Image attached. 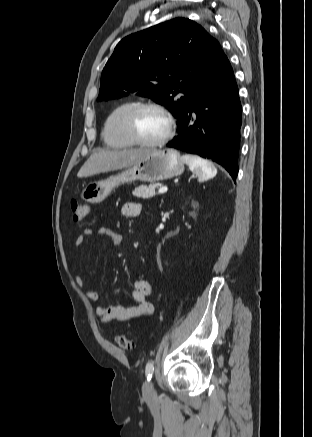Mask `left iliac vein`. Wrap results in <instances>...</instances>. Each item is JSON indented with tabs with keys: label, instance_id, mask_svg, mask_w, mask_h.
Here are the masks:
<instances>
[{
	"label": "left iliac vein",
	"instance_id": "obj_1",
	"mask_svg": "<svg viewBox=\"0 0 312 437\" xmlns=\"http://www.w3.org/2000/svg\"><path fill=\"white\" fill-rule=\"evenodd\" d=\"M143 394L146 398H153L155 396V389L152 382H146L143 387Z\"/></svg>",
	"mask_w": 312,
	"mask_h": 437
}]
</instances>
